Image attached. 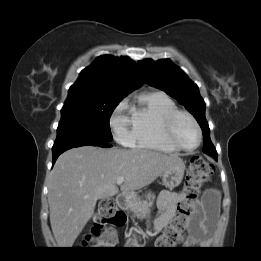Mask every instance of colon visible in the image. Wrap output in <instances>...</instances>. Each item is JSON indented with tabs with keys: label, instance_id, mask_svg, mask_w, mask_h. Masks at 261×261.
<instances>
[{
	"label": "colon",
	"instance_id": "colon-1",
	"mask_svg": "<svg viewBox=\"0 0 261 261\" xmlns=\"http://www.w3.org/2000/svg\"><path fill=\"white\" fill-rule=\"evenodd\" d=\"M212 172L213 167L202 157H192L185 178V192L190 200L199 196L203 185L208 181ZM191 217L188 206L180 205L175 219L156 240V247L167 248L177 244L187 229ZM125 222V214L117 210L114 201L112 199L103 200L99 206L93 230L89 235V242L99 248L113 246L116 243L115 231L112 228H107L105 231L103 229L108 225L117 228Z\"/></svg>",
	"mask_w": 261,
	"mask_h": 261
}]
</instances>
